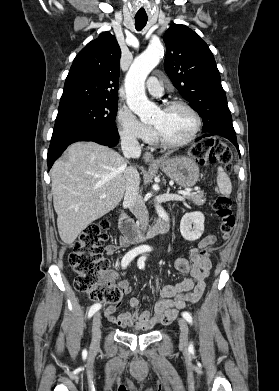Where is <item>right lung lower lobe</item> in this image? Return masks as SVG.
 <instances>
[{"label": "right lung lower lobe", "mask_w": 279, "mask_h": 391, "mask_svg": "<svg viewBox=\"0 0 279 391\" xmlns=\"http://www.w3.org/2000/svg\"><path fill=\"white\" fill-rule=\"evenodd\" d=\"M76 141H94L112 147L118 143L119 135L116 126H99L52 137L47 157L48 170L63 151Z\"/></svg>", "instance_id": "98d812e1"}]
</instances>
